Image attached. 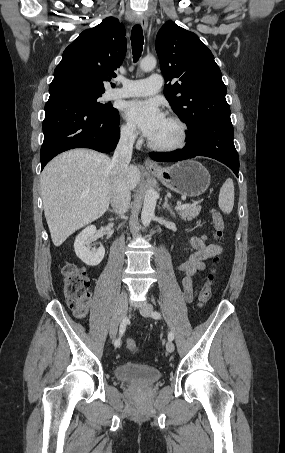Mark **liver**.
Here are the masks:
<instances>
[{
    "label": "liver",
    "instance_id": "liver-1",
    "mask_svg": "<svg viewBox=\"0 0 285 453\" xmlns=\"http://www.w3.org/2000/svg\"><path fill=\"white\" fill-rule=\"evenodd\" d=\"M113 173L107 155L87 149L64 152L47 164L41 174V195L56 247L107 211ZM126 177L133 190L140 182V170L131 165Z\"/></svg>",
    "mask_w": 285,
    "mask_h": 453
}]
</instances>
